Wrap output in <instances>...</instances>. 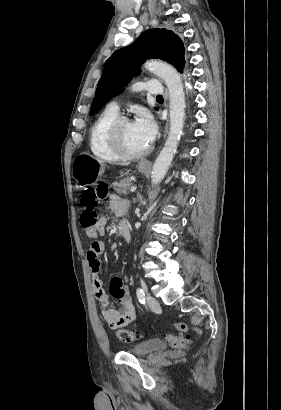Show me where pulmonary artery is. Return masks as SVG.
Masks as SVG:
<instances>
[{"instance_id":"1","label":"pulmonary artery","mask_w":281,"mask_h":410,"mask_svg":"<svg viewBox=\"0 0 281 410\" xmlns=\"http://www.w3.org/2000/svg\"><path fill=\"white\" fill-rule=\"evenodd\" d=\"M136 88L139 90L147 91L148 93H151V94H162L164 92V88L160 85L158 81H155V80H147L143 83H139L136 85ZM109 108L115 111L119 110V106L116 102H112L109 105Z\"/></svg>"}]
</instances>
